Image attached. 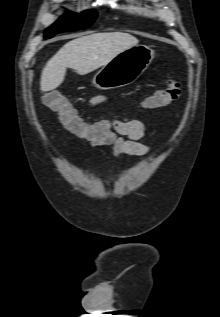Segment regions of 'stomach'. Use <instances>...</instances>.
Segmentation results:
<instances>
[{"instance_id":"obj_1","label":"stomach","mask_w":220,"mask_h":317,"mask_svg":"<svg viewBox=\"0 0 220 317\" xmlns=\"http://www.w3.org/2000/svg\"><path fill=\"white\" fill-rule=\"evenodd\" d=\"M153 58V50L145 45L130 47L119 53L95 74L93 85L103 90L129 85L142 75Z\"/></svg>"}]
</instances>
